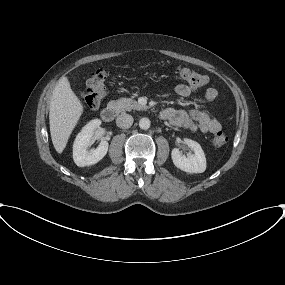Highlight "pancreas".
<instances>
[{
  "label": "pancreas",
  "mask_w": 285,
  "mask_h": 285,
  "mask_svg": "<svg viewBox=\"0 0 285 285\" xmlns=\"http://www.w3.org/2000/svg\"><path fill=\"white\" fill-rule=\"evenodd\" d=\"M118 112L131 111V110H144L145 107L138 104V102L132 98H121L116 101L110 102Z\"/></svg>",
  "instance_id": "pancreas-1"
}]
</instances>
